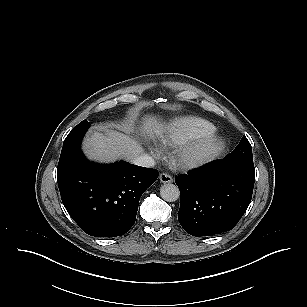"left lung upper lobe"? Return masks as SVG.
Masks as SVG:
<instances>
[{
    "label": "left lung upper lobe",
    "instance_id": "1",
    "mask_svg": "<svg viewBox=\"0 0 307 307\" xmlns=\"http://www.w3.org/2000/svg\"><path fill=\"white\" fill-rule=\"evenodd\" d=\"M227 161H239L253 164L252 148L245 136L241 139L237 147L224 158Z\"/></svg>",
    "mask_w": 307,
    "mask_h": 307
}]
</instances>
